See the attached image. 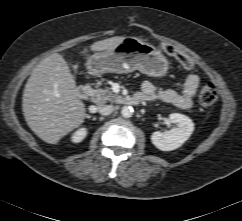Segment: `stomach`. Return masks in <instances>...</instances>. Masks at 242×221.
Wrapping results in <instances>:
<instances>
[{"label":"stomach","instance_id":"0dacf381","mask_svg":"<svg viewBox=\"0 0 242 221\" xmlns=\"http://www.w3.org/2000/svg\"><path fill=\"white\" fill-rule=\"evenodd\" d=\"M86 65L89 73L97 76L139 70L151 77H162L169 68L159 49L135 37H125L111 50L94 53Z\"/></svg>","mask_w":242,"mask_h":221}]
</instances>
